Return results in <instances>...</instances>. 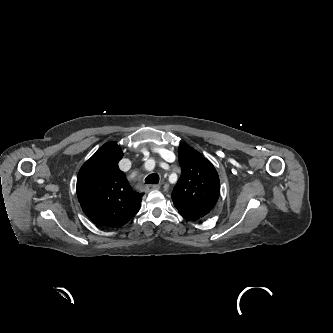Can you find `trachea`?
Instances as JSON below:
<instances>
[{
  "mask_svg": "<svg viewBox=\"0 0 333 333\" xmlns=\"http://www.w3.org/2000/svg\"><path fill=\"white\" fill-rule=\"evenodd\" d=\"M145 183L146 184H158L159 176L155 173H152L145 178Z\"/></svg>",
  "mask_w": 333,
  "mask_h": 333,
  "instance_id": "obj_1",
  "label": "trachea"
}]
</instances>
